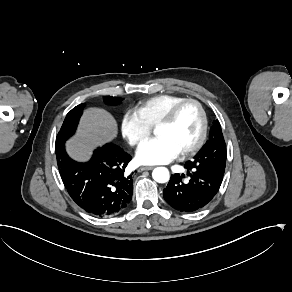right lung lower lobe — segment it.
I'll use <instances>...</instances> for the list:
<instances>
[{
  "mask_svg": "<svg viewBox=\"0 0 292 292\" xmlns=\"http://www.w3.org/2000/svg\"><path fill=\"white\" fill-rule=\"evenodd\" d=\"M58 169L73 201L85 212L108 217L125 209L132 199L133 183L125 168L132 157L108 143L96 149L85 163L72 160L65 142L55 144Z\"/></svg>",
  "mask_w": 292,
  "mask_h": 292,
  "instance_id": "1",
  "label": "right lung lower lobe"
}]
</instances>
